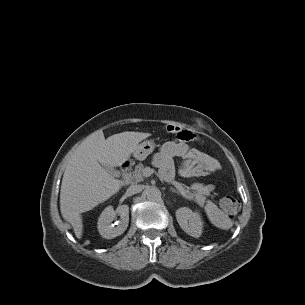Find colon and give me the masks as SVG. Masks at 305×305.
Listing matches in <instances>:
<instances>
[{"label": "colon", "mask_w": 305, "mask_h": 305, "mask_svg": "<svg viewBox=\"0 0 305 305\" xmlns=\"http://www.w3.org/2000/svg\"><path fill=\"white\" fill-rule=\"evenodd\" d=\"M166 131L168 133L176 135L178 138H184L186 135L185 131L176 125L166 126ZM220 207L227 216L233 217L237 214L240 204L236 198L231 196H226L221 199Z\"/></svg>", "instance_id": "colon-1"}]
</instances>
